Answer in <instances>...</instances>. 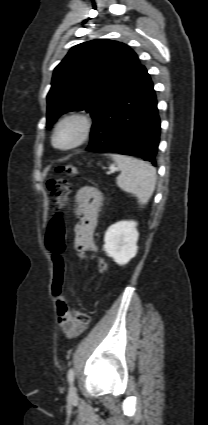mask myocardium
<instances>
[{"label": "myocardium", "instance_id": "f54148a6", "mask_svg": "<svg viewBox=\"0 0 208 425\" xmlns=\"http://www.w3.org/2000/svg\"><path fill=\"white\" fill-rule=\"evenodd\" d=\"M66 128L74 129L73 138L65 144H60L58 138ZM94 124L84 113H70L63 116L55 125L51 137L52 145L59 150H71L85 144L92 136Z\"/></svg>", "mask_w": 208, "mask_h": 425}]
</instances>
